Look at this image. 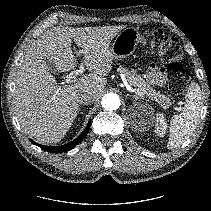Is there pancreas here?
Instances as JSON below:
<instances>
[{"label": "pancreas", "instance_id": "cf45deb5", "mask_svg": "<svg viewBox=\"0 0 211 211\" xmlns=\"http://www.w3.org/2000/svg\"><path fill=\"white\" fill-rule=\"evenodd\" d=\"M118 72L122 73L128 83L135 89L139 90L143 95L148 96L156 101L163 109H167L171 105L169 96L161 94L159 91L154 90L148 82H146L136 70L129 71L127 68L120 66Z\"/></svg>", "mask_w": 211, "mask_h": 211}]
</instances>
